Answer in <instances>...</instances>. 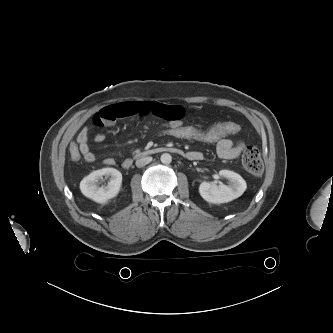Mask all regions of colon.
<instances>
[{
    "instance_id": "1",
    "label": "colon",
    "mask_w": 333,
    "mask_h": 333,
    "mask_svg": "<svg viewBox=\"0 0 333 333\" xmlns=\"http://www.w3.org/2000/svg\"><path fill=\"white\" fill-rule=\"evenodd\" d=\"M239 131L240 126L233 121H221L209 127L186 125L184 123H165L159 129V133L163 136L206 143H217L222 139L237 134ZM69 156L73 161L81 159V153L77 144H70ZM242 164L253 175L258 176L262 173L263 163L256 146L248 145L245 148L242 155Z\"/></svg>"
}]
</instances>
